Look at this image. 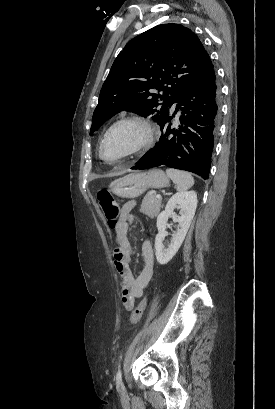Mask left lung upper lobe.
I'll list each match as a JSON object with an SVG mask.
<instances>
[{"mask_svg":"<svg viewBox=\"0 0 275 409\" xmlns=\"http://www.w3.org/2000/svg\"><path fill=\"white\" fill-rule=\"evenodd\" d=\"M212 68L197 35L180 24H161L136 36L119 53L102 86L90 135L123 110L152 115L160 125L181 92Z\"/></svg>","mask_w":275,"mask_h":409,"instance_id":"left-lung-upper-lobe-1","label":"left lung upper lobe"}]
</instances>
